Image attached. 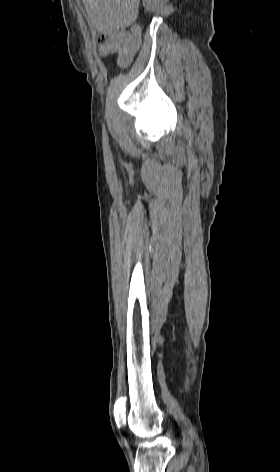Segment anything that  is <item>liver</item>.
<instances>
[{"instance_id": "6515ba94", "label": "liver", "mask_w": 280, "mask_h": 472, "mask_svg": "<svg viewBox=\"0 0 280 472\" xmlns=\"http://www.w3.org/2000/svg\"><path fill=\"white\" fill-rule=\"evenodd\" d=\"M88 23L103 34L134 23L139 13L140 0H82Z\"/></svg>"}]
</instances>
